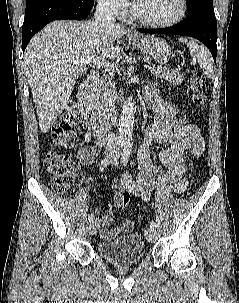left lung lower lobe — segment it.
<instances>
[{"mask_svg":"<svg viewBox=\"0 0 239 303\" xmlns=\"http://www.w3.org/2000/svg\"><path fill=\"white\" fill-rule=\"evenodd\" d=\"M217 22L214 9L199 10L179 24L163 29H139L142 33H164L189 36L201 41L211 52L214 60L217 55Z\"/></svg>","mask_w":239,"mask_h":303,"instance_id":"0a47b994","label":"left lung lower lobe"}]
</instances>
